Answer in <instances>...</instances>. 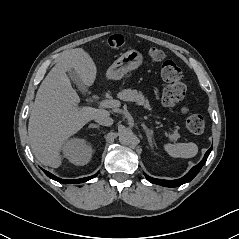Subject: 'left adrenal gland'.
Listing matches in <instances>:
<instances>
[{
	"label": "left adrenal gland",
	"instance_id": "obj_1",
	"mask_svg": "<svg viewBox=\"0 0 239 239\" xmlns=\"http://www.w3.org/2000/svg\"><path fill=\"white\" fill-rule=\"evenodd\" d=\"M141 126L145 130L149 145L153 149V141H152L153 131L151 129H149L144 123H142Z\"/></svg>",
	"mask_w": 239,
	"mask_h": 239
}]
</instances>
